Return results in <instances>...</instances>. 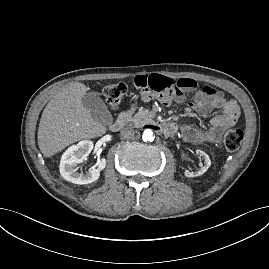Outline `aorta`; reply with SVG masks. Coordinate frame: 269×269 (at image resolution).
<instances>
[{
	"mask_svg": "<svg viewBox=\"0 0 269 269\" xmlns=\"http://www.w3.org/2000/svg\"><path fill=\"white\" fill-rule=\"evenodd\" d=\"M142 139L145 142H152L154 141V133L151 129H146L144 130L143 134H142Z\"/></svg>",
	"mask_w": 269,
	"mask_h": 269,
	"instance_id": "obj_1",
	"label": "aorta"
}]
</instances>
